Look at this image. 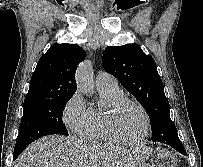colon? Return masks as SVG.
Instances as JSON below:
<instances>
[{"label":"colon","mask_w":203,"mask_h":167,"mask_svg":"<svg viewBox=\"0 0 203 167\" xmlns=\"http://www.w3.org/2000/svg\"><path fill=\"white\" fill-rule=\"evenodd\" d=\"M158 167H176V158L168 151L161 150L157 154Z\"/></svg>","instance_id":"5ec220e1"}]
</instances>
